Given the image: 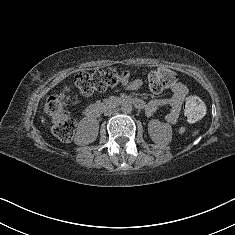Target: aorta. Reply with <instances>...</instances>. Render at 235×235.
Here are the masks:
<instances>
[{"mask_svg":"<svg viewBox=\"0 0 235 235\" xmlns=\"http://www.w3.org/2000/svg\"><path fill=\"white\" fill-rule=\"evenodd\" d=\"M132 105L131 104H129V103H123L122 105H121V111L123 112V113H125V114H129V113H131L132 112Z\"/></svg>","mask_w":235,"mask_h":235,"instance_id":"obj_1","label":"aorta"}]
</instances>
